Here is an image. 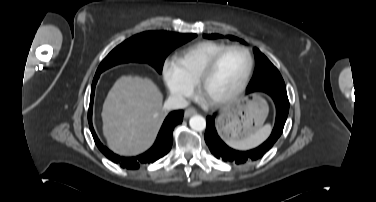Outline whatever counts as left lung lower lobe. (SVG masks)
<instances>
[{
    "label": "left lung lower lobe",
    "instance_id": "obj_1",
    "mask_svg": "<svg viewBox=\"0 0 376 202\" xmlns=\"http://www.w3.org/2000/svg\"><path fill=\"white\" fill-rule=\"evenodd\" d=\"M269 94L276 106V121L270 137L259 147L249 151H236L228 147L218 136L215 129L214 120L216 114L206 118L207 126L205 131V142L211 153L218 159L228 163L244 164L256 161L270 150L283 132V128L289 112V100L287 93L277 90L264 91Z\"/></svg>",
    "mask_w": 376,
    "mask_h": 202
}]
</instances>
